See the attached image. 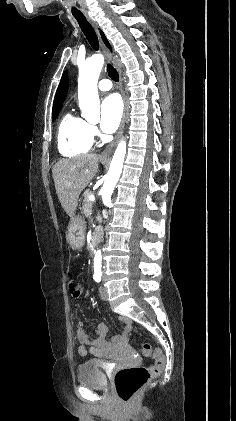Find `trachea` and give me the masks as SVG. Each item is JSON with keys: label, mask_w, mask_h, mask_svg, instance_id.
Here are the masks:
<instances>
[{"label": "trachea", "mask_w": 236, "mask_h": 421, "mask_svg": "<svg viewBox=\"0 0 236 421\" xmlns=\"http://www.w3.org/2000/svg\"><path fill=\"white\" fill-rule=\"evenodd\" d=\"M74 17L79 23L80 28L82 32L84 33L85 37L87 38L91 47L94 50H98L99 42H98L97 35L94 31V28L90 25V23L86 20V18L83 15H74ZM107 72H108L109 77L112 80H114L115 82L119 81V74L117 70H115V68H113L112 65H110V63H108L107 65Z\"/></svg>", "instance_id": "obj_1"}]
</instances>
